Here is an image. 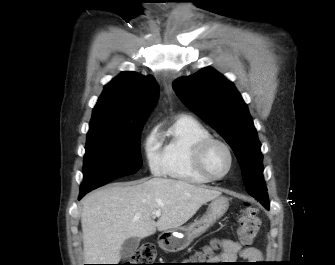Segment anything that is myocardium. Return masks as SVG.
Segmentation results:
<instances>
[{"label": "myocardium", "mask_w": 335, "mask_h": 265, "mask_svg": "<svg viewBox=\"0 0 335 265\" xmlns=\"http://www.w3.org/2000/svg\"><path fill=\"white\" fill-rule=\"evenodd\" d=\"M213 144L221 145L226 150L228 157H229L228 169L226 170L224 174L220 176L211 174L207 170L205 163H204L205 154L208 148ZM193 161H194L195 168L202 176H204L209 181H219V180L224 179L231 173L234 167L235 157H234V153H233L231 146L226 141L210 136V137L203 139L197 144L195 151H194V155H193Z\"/></svg>", "instance_id": "1"}]
</instances>
